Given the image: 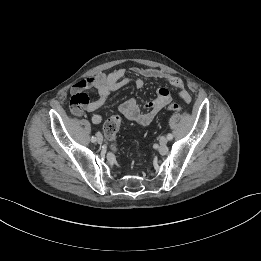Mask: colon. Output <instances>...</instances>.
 <instances>
[{
	"mask_svg": "<svg viewBox=\"0 0 261 261\" xmlns=\"http://www.w3.org/2000/svg\"><path fill=\"white\" fill-rule=\"evenodd\" d=\"M167 109L171 112H179L181 111L182 107L176 102H170L167 105ZM120 125L121 118L115 115L109 118L103 126L104 134L110 142L111 149L115 152L118 150V146L116 143V134L119 131Z\"/></svg>",
	"mask_w": 261,
	"mask_h": 261,
	"instance_id": "obj_1",
	"label": "colon"
}]
</instances>
